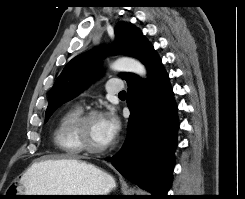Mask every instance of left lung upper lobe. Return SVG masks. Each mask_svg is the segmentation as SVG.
<instances>
[{
    "mask_svg": "<svg viewBox=\"0 0 245 199\" xmlns=\"http://www.w3.org/2000/svg\"><path fill=\"white\" fill-rule=\"evenodd\" d=\"M152 51H155L153 46L138 29L126 23L117 25L115 53L136 57L145 64ZM104 53V50H93L76 56L65 66L52 88L45 122L59 106L76 97L99 76V62ZM135 76L131 73H121V77L126 81Z\"/></svg>",
    "mask_w": 245,
    "mask_h": 199,
    "instance_id": "1",
    "label": "left lung upper lobe"
}]
</instances>
